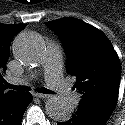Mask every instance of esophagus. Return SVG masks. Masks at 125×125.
Instances as JSON below:
<instances>
[{
    "mask_svg": "<svg viewBox=\"0 0 125 125\" xmlns=\"http://www.w3.org/2000/svg\"><path fill=\"white\" fill-rule=\"evenodd\" d=\"M33 95L37 98H49L51 97L50 95L48 94H43V93H33Z\"/></svg>",
    "mask_w": 125,
    "mask_h": 125,
    "instance_id": "34e87169",
    "label": "esophagus"
}]
</instances>
